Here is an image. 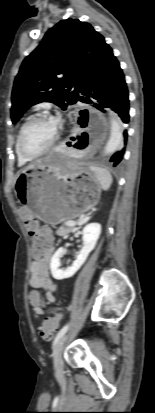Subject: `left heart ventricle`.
Returning a JSON list of instances; mask_svg holds the SVG:
<instances>
[{
	"mask_svg": "<svg viewBox=\"0 0 155 413\" xmlns=\"http://www.w3.org/2000/svg\"><path fill=\"white\" fill-rule=\"evenodd\" d=\"M56 132L57 128L52 120L34 122L25 132V148L30 152H38L44 149L54 139Z\"/></svg>",
	"mask_w": 155,
	"mask_h": 413,
	"instance_id": "obj_1",
	"label": "left heart ventricle"
}]
</instances>
